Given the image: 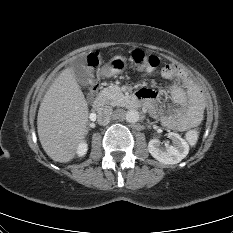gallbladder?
<instances>
[{"mask_svg":"<svg viewBox=\"0 0 233 233\" xmlns=\"http://www.w3.org/2000/svg\"><path fill=\"white\" fill-rule=\"evenodd\" d=\"M75 78L81 86H88L90 82V73L87 68V56L80 54L72 63Z\"/></svg>","mask_w":233,"mask_h":233,"instance_id":"1","label":"gallbladder"}]
</instances>
